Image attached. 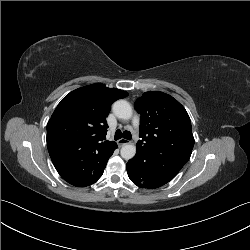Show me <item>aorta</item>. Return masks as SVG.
I'll use <instances>...</instances> for the list:
<instances>
[{"mask_svg": "<svg viewBox=\"0 0 250 250\" xmlns=\"http://www.w3.org/2000/svg\"><path fill=\"white\" fill-rule=\"evenodd\" d=\"M113 113L120 119L128 120L132 117L133 111L131 105L123 99L117 100L113 104ZM121 157L125 160L133 158L136 154V146L125 144L120 151Z\"/></svg>", "mask_w": 250, "mask_h": 250, "instance_id": "1", "label": "aorta"}]
</instances>
